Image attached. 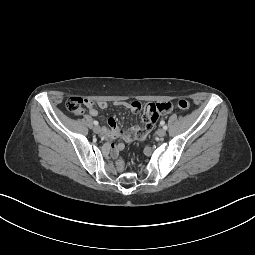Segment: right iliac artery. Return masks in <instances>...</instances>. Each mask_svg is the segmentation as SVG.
I'll return each instance as SVG.
<instances>
[{
    "instance_id": "82829eb1",
    "label": "right iliac artery",
    "mask_w": 255,
    "mask_h": 255,
    "mask_svg": "<svg viewBox=\"0 0 255 255\" xmlns=\"http://www.w3.org/2000/svg\"><path fill=\"white\" fill-rule=\"evenodd\" d=\"M93 124L97 126L99 123L98 121H94Z\"/></svg>"
}]
</instances>
